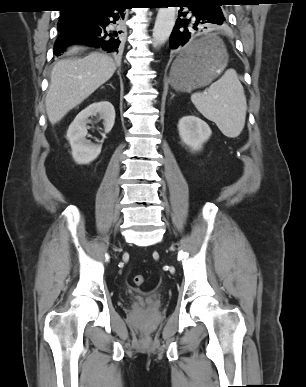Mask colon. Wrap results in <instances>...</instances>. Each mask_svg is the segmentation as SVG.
<instances>
[{
	"instance_id": "5ec220e1",
	"label": "colon",
	"mask_w": 306,
	"mask_h": 387,
	"mask_svg": "<svg viewBox=\"0 0 306 387\" xmlns=\"http://www.w3.org/2000/svg\"><path fill=\"white\" fill-rule=\"evenodd\" d=\"M133 282L136 286L140 287L145 283V278L143 275H136L133 278Z\"/></svg>"
}]
</instances>
